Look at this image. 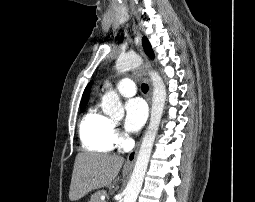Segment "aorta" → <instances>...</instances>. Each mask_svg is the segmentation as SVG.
Masks as SVG:
<instances>
[{"label": "aorta", "mask_w": 255, "mask_h": 202, "mask_svg": "<svg viewBox=\"0 0 255 202\" xmlns=\"http://www.w3.org/2000/svg\"><path fill=\"white\" fill-rule=\"evenodd\" d=\"M142 58L136 54H126L120 56L116 61V70L124 72L139 67ZM149 76L152 81L153 95L149 126L142 139L141 146L137 155L135 166L131 178L125 189L123 202H136L141 190L145 173L147 171L153 144L159 129L161 117L166 101V87L157 72L150 71ZM103 112L111 118L119 119L124 115V108L118 93L110 90L102 97L101 103Z\"/></svg>", "instance_id": "762f6f07"}]
</instances>
